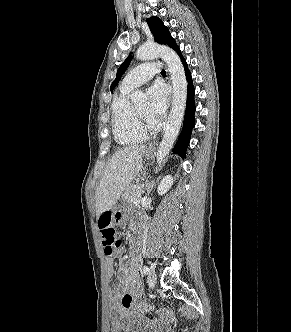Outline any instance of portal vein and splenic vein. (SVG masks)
<instances>
[{"label": "portal vein and splenic vein", "mask_w": 291, "mask_h": 332, "mask_svg": "<svg viewBox=\"0 0 291 332\" xmlns=\"http://www.w3.org/2000/svg\"><path fill=\"white\" fill-rule=\"evenodd\" d=\"M139 203H140V200H138V199L135 200V201L133 202V204L136 205V206H137Z\"/></svg>", "instance_id": "obj_1"}]
</instances>
